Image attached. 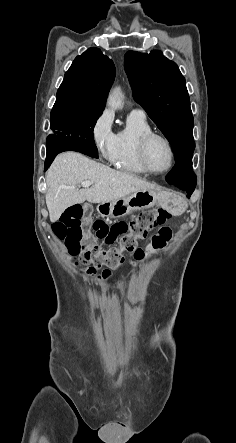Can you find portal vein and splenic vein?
<instances>
[{
  "instance_id": "1",
  "label": "portal vein and splenic vein",
  "mask_w": 236,
  "mask_h": 443,
  "mask_svg": "<svg viewBox=\"0 0 236 443\" xmlns=\"http://www.w3.org/2000/svg\"><path fill=\"white\" fill-rule=\"evenodd\" d=\"M91 184H92L91 181H83V182L81 183L82 187H84V188H88V187H90Z\"/></svg>"
}]
</instances>
